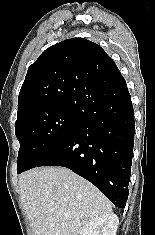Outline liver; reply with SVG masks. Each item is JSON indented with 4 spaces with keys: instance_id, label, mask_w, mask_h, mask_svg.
I'll return each instance as SVG.
<instances>
[{
    "instance_id": "1",
    "label": "liver",
    "mask_w": 155,
    "mask_h": 235,
    "mask_svg": "<svg viewBox=\"0 0 155 235\" xmlns=\"http://www.w3.org/2000/svg\"><path fill=\"white\" fill-rule=\"evenodd\" d=\"M19 187L34 235H78L112 211L94 185L64 167L29 170L20 175Z\"/></svg>"
}]
</instances>
